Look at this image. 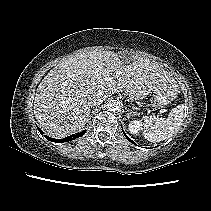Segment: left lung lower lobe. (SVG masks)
<instances>
[{"instance_id":"left-lung-lower-lobe-1","label":"left lung lower lobe","mask_w":211,"mask_h":211,"mask_svg":"<svg viewBox=\"0 0 211 211\" xmlns=\"http://www.w3.org/2000/svg\"><path fill=\"white\" fill-rule=\"evenodd\" d=\"M122 131H123V130H122ZM123 133H124V131H123ZM124 135H125V137H126L130 142L134 143L130 138H128V137L126 136L125 133H124Z\"/></svg>"}]
</instances>
